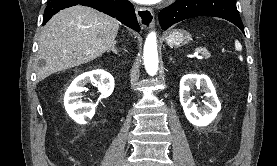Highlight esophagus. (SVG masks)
<instances>
[{"label":"esophagus","instance_id":"1","mask_svg":"<svg viewBox=\"0 0 277 166\" xmlns=\"http://www.w3.org/2000/svg\"><path fill=\"white\" fill-rule=\"evenodd\" d=\"M136 15L139 23L146 29L154 26V13L150 8L136 7Z\"/></svg>","mask_w":277,"mask_h":166}]
</instances>
